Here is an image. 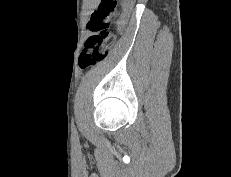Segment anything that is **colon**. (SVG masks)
Listing matches in <instances>:
<instances>
[{"instance_id": "colon-1", "label": "colon", "mask_w": 231, "mask_h": 177, "mask_svg": "<svg viewBox=\"0 0 231 177\" xmlns=\"http://www.w3.org/2000/svg\"><path fill=\"white\" fill-rule=\"evenodd\" d=\"M120 2L129 3V0H101L96 11L88 22L91 35L79 55L80 68L87 69L103 61L115 42V33L112 19L116 15Z\"/></svg>"}]
</instances>
